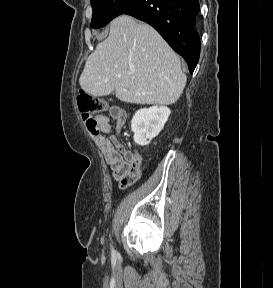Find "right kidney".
Here are the masks:
<instances>
[{
	"instance_id": "ca27d5eb",
	"label": "right kidney",
	"mask_w": 273,
	"mask_h": 288,
	"mask_svg": "<svg viewBox=\"0 0 273 288\" xmlns=\"http://www.w3.org/2000/svg\"><path fill=\"white\" fill-rule=\"evenodd\" d=\"M171 110L165 106L143 108L134 114L131 130L137 145L146 146L163 129Z\"/></svg>"
}]
</instances>
